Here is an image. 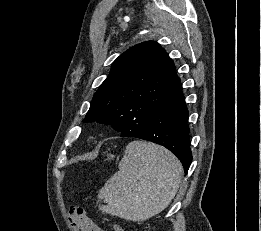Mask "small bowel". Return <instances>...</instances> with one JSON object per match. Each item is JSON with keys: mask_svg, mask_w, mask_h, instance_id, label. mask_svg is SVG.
Returning <instances> with one entry per match:
<instances>
[{"mask_svg": "<svg viewBox=\"0 0 261 231\" xmlns=\"http://www.w3.org/2000/svg\"><path fill=\"white\" fill-rule=\"evenodd\" d=\"M71 225H72L71 226L72 231H80L79 227H77L73 224H71ZM87 231H104V229L93 223V226L90 229H88Z\"/></svg>", "mask_w": 261, "mask_h": 231, "instance_id": "1", "label": "small bowel"}]
</instances>
